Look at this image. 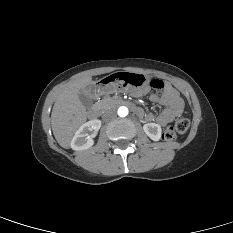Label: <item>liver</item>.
Listing matches in <instances>:
<instances>
[{"label":"liver","mask_w":233,"mask_h":233,"mask_svg":"<svg viewBox=\"0 0 233 233\" xmlns=\"http://www.w3.org/2000/svg\"><path fill=\"white\" fill-rule=\"evenodd\" d=\"M92 77L85 76L70 81L58 95L51 113V126L55 139L65 149L77 129L86 121V107L79 99L80 91L92 85Z\"/></svg>","instance_id":"1"}]
</instances>
